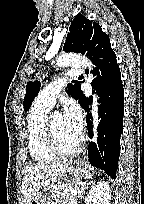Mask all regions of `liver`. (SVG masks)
Segmentation results:
<instances>
[{"label":"liver","instance_id":"6515ba94","mask_svg":"<svg viewBox=\"0 0 144 204\" xmlns=\"http://www.w3.org/2000/svg\"><path fill=\"white\" fill-rule=\"evenodd\" d=\"M71 162L54 163L52 165L29 164L24 171L22 194L24 204H31L34 197L43 187L54 185L60 181Z\"/></svg>","mask_w":144,"mask_h":204}]
</instances>
